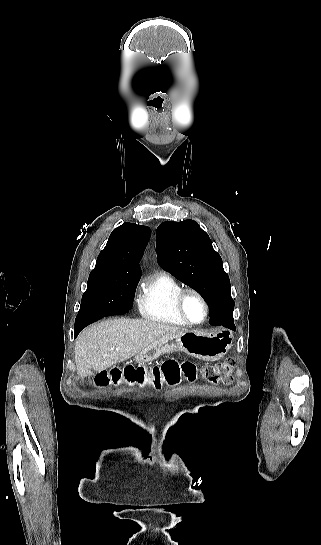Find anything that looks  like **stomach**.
I'll return each mask as SVG.
<instances>
[{
	"label": "stomach",
	"instance_id": "stomach-1",
	"mask_svg": "<svg viewBox=\"0 0 321 545\" xmlns=\"http://www.w3.org/2000/svg\"><path fill=\"white\" fill-rule=\"evenodd\" d=\"M234 335L230 329H218L214 333H199V331H182L163 335L143 351L136 355L137 363H151L161 355L183 351L190 357L202 361H219L232 349Z\"/></svg>",
	"mask_w": 321,
	"mask_h": 545
}]
</instances>
